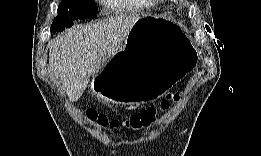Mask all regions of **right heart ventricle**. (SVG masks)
<instances>
[{
	"mask_svg": "<svg viewBox=\"0 0 261 156\" xmlns=\"http://www.w3.org/2000/svg\"><path fill=\"white\" fill-rule=\"evenodd\" d=\"M135 1H137V0H109V1H106V4L111 7L124 9L129 4H131L132 2H135Z\"/></svg>",
	"mask_w": 261,
	"mask_h": 156,
	"instance_id": "obj_1",
	"label": "right heart ventricle"
}]
</instances>
